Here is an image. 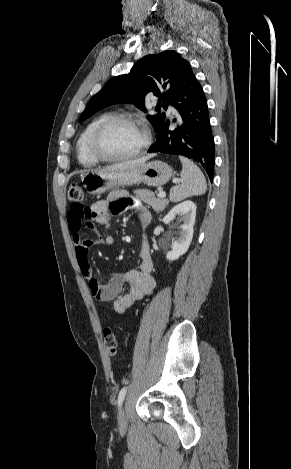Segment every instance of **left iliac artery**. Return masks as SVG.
<instances>
[{
  "instance_id": "obj_1",
  "label": "left iliac artery",
  "mask_w": 291,
  "mask_h": 469,
  "mask_svg": "<svg viewBox=\"0 0 291 469\" xmlns=\"http://www.w3.org/2000/svg\"><path fill=\"white\" fill-rule=\"evenodd\" d=\"M126 392H127V387H123L120 390L119 395H118V406H121V404H122V402L125 398Z\"/></svg>"
}]
</instances>
